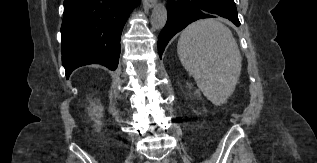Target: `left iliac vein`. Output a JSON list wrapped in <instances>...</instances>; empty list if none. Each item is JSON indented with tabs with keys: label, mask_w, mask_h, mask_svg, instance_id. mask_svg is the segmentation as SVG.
I'll return each instance as SVG.
<instances>
[{
	"label": "left iliac vein",
	"mask_w": 317,
	"mask_h": 163,
	"mask_svg": "<svg viewBox=\"0 0 317 163\" xmlns=\"http://www.w3.org/2000/svg\"><path fill=\"white\" fill-rule=\"evenodd\" d=\"M162 163H171L170 162V160L169 159H165V160H163V162Z\"/></svg>",
	"instance_id": "left-iliac-vein-1"
}]
</instances>
